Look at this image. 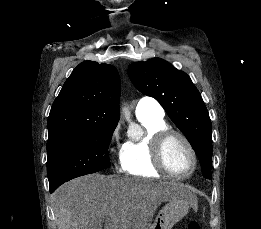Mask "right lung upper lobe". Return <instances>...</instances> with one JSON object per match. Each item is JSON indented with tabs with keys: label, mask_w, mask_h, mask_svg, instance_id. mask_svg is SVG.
Segmentation results:
<instances>
[{
	"label": "right lung upper lobe",
	"mask_w": 261,
	"mask_h": 229,
	"mask_svg": "<svg viewBox=\"0 0 261 229\" xmlns=\"http://www.w3.org/2000/svg\"><path fill=\"white\" fill-rule=\"evenodd\" d=\"M120 79L109 64L80 63L63 85L48 118L47 146L94 126L117 125Z\"/></svg>",
	"instance_id": "obj_1"
}]
</instances>
